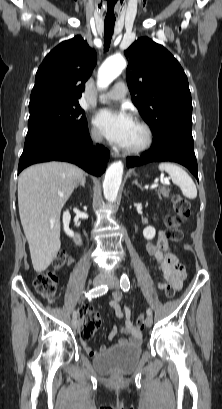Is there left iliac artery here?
Returning a JSON list of instances; mask_svg holds the SVG:
<instances>
[{
  "mask_svg": "<svg viewBox=\"0 0 222 409\" xmlns=\"http://www.w3.org/2000/svg\"><path fill=\"white\" fill-rule=\"evenodd\" d=\"M120 287L124 292L129 291L130 289V281L129 278L126 274H122L121 279H120ZM148 316L152 315V310L150 308L147 309L146 311Z\"/></svg>",
  "mask_w": 222,
  "mask_h": 409,
  "instance_id": "44dca946",
  "label": "left iliac artery"
}]
</instances>
